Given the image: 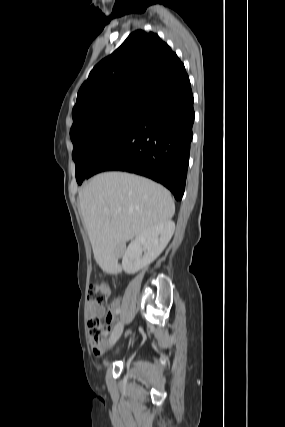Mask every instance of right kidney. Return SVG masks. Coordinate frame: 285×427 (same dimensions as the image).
Here are the masks:
<instances>
[{"label": "right kidney", "instance_id": "ca27d5eb", "mask_svg": "<svg viewBox=\"0 0 285 427\" xmlns=\"http://www.w3.org/2000/svg\"><path fill=\"white\" fill-rule=\"evenodd\" d=\"M174 230L175 223L168 220L137 236L129 244L122 259L125 273L134 274L150 265L165 249Z\"/></svg>", "mask_w": 285, "mask_h": 427}]
</instances>
